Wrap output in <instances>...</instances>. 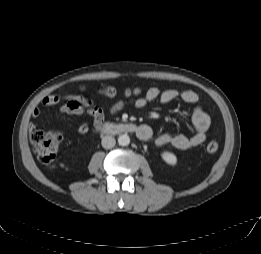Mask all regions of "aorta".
<instances>
[{
  "label": "aorta",
  "instance_id": "1",
  "mask_svg": "<svg viewBox=\"0 0 261 254\" xmlns=\"http://www.w3.org/2000/svg\"><path fill=\"white\" fill-rule=\"evenodd\" d=\"M118 143L121 146H127L130 143V137L127 134H122L118 137Z\"/></svg>",
  "mask_w": 261,
  "mask_h": 254
}]
</instances>
